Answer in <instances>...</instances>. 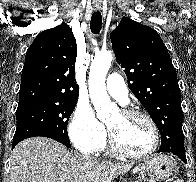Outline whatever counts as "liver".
I'll return each instance as SVG.
<instances>
[{"label":"liver","instance_id":"6515ba94","mask_svg":"<svg viewBox=\"0 0 196 182\" xmlns=\"http://www.w3.org/2000/svg\"><path fill=\"white\" fill-rule=\"evenodd\" d=\"M132 167L74 155L55 140L32 137L12 152L10 182H111Z\"/></svg>","mask_w":196,"mask_h":182}]
</instances>
